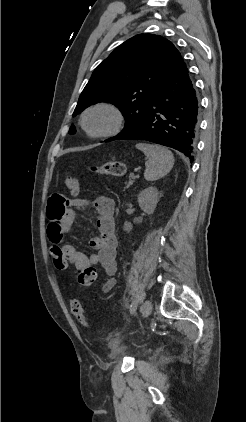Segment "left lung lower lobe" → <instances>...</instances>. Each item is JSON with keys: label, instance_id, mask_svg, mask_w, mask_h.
<instances>
[{"label": "left lung lower lobe", "instance_id": "left-lung-lower-lobe-1", "mask_svg": "<svg viewBox=\"0 0 246 422\" xmlns=\"http://www.w3.org/2000/svg\"><path fill=\"white\" fill-rule=\"evenodd\" d=\"M199 130V100L183 61L151 99L142 120L113 140H147L174 148L190 161Z\"/></svg>", "mask_w": 246, "mask_h": 422}]
</instances>
